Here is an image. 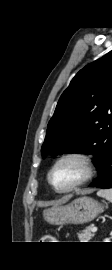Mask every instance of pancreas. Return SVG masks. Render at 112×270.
Wrapping results in <instances>:
<instances>
[{"label": "pancreas", "instance_id": "cf45deb5", "mask_svg": "<svg viewBox=\"0 0 112 270\" xmlns=\"http://www.w3.org/2000/svg\"><path fill=\"white\" fill-rule=\"evenodd\" d=\"M94 236V232L91 231V227H87L85 230L78 234L80 242H89Z\"/></svg>", "mask_w": 112, "mask_h": 270}]
</instances>
